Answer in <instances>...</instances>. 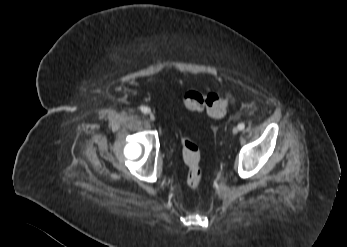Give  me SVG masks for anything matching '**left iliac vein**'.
Wrapping results in <instances>:
<instances>
[{
	"label": "left iliac vein",
	"instance_id": "4c4485c4",
	"mask_svg": "<svg viewBox=\"0 0 347 247\" xmlns=\"http://www.w3.org/2000/svg\"><path fill=\"white\" fill-rule=\"evenodd\" d=\"M238 132H239L238 127H234L233 130H232V133H233L234 135H236V134H238Z\"/></svg>",
	"mask_w": 347,
	"mask_h": 247
}]
</instances>
